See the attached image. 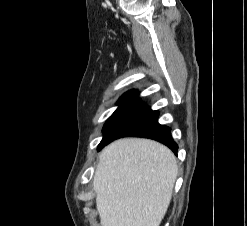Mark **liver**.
Listing matches in <instances>:
<instances>
[{"mask_svg": "<svg viewBox=\"0 0 247 226\" xmlns=\"http://www.w3.org/2000/svg\"><path fill=\"white\" fill-rule=\"evenodd\" d=\"M177 175L175 155L155 141L125 138L105 147L93 179L101 226H159Z\"/></svg>", "mask_w": 247, "mask_h": 226, "instance_id": "liver-1", "label": "liver"}]
</instances>
